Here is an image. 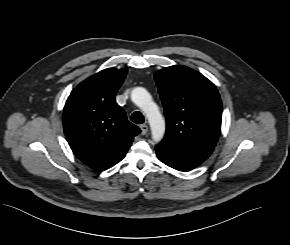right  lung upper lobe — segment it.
Wrapping results in <instances>:
<instances>
[{
	"mask_svg": "<svg viewBox=\"0 0 290 245\" xmlns=\"http://www.w3.org/2000/svg\"><path fill=\"white\" fill-rule=\"evenodd\" d=\"M127 69L108 68L81 82L64 107L63 127L74 154L104 171L121 161L140 129L115 102Z\"/></svg>",
	"mask_w": 290,
	"mask_h": 245,
	"instance_id": "cb5924a9",
	"label": "right lung upper lobe"
}]
</instances>
